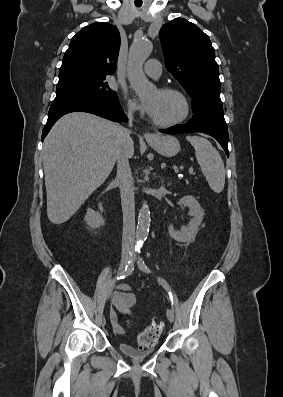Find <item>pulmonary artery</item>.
I'll use <instances>...</instances> for the list:
<instances>
[{
  "mask_svg": "<svg viewBox=\"0 0 283 397\" xmlns=\"http://www.w3.org/2000/svg\"><path fill=\"white\" fill-rule=\"evenodd\" d=\"M144 70L147 75L153 78H158L162 73L161 64L156 59L148 60L145 64Z\"/></svg>",
  "mask_w": 283,
  "mask_h": 397,
  "instance_id": "1",
  "label": "pulmonary artery"
}]
</instances>
